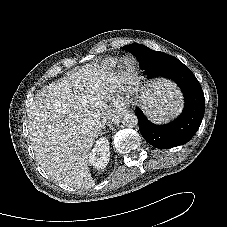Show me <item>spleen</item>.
<instances>
[{"mask_svg": "<svg viewBox=\"0 0 227 227\" xmlns=\"http://www.w3.org/2000/svg\"><path fill=\"white\" fill-rule=\"evenodd\" d=\"M177 94L171 83H155L154 90L144 99L146 114L158 122L175 117L180 109L179 101L174 99Z\"/></svg>", "mask_w": 227, "mask_h": 227, "instance_id": "1", "label": "spleen"}]
</instances>
